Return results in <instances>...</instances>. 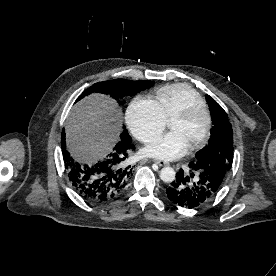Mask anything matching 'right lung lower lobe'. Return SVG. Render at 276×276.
Instances as JSON below:
<instances>
[{
    "instance_id": "98d812e1",
    "label": "right lung lower lobe",
    "mask_w": 276,
    "mask_h": 276,
    "mask_svg": "<svg viewBox=\"0 0 276 276\" xmlns=\"http://www.w3.org/2000/svg\"><path fill=\"white\" fill-rule=\"evenodd\" d=\"M131 142V139L118 142L113 152L93 165L81 164L75 162L66 150L63 131L61 147L66 173L73 189L92 203L109 201L120 194L132 176L131 166H126L124 162L132 148Z\"/></svg>"
}]
</instances>
